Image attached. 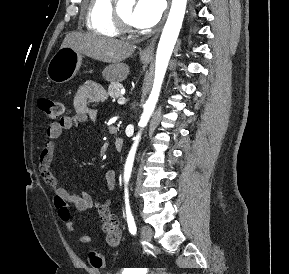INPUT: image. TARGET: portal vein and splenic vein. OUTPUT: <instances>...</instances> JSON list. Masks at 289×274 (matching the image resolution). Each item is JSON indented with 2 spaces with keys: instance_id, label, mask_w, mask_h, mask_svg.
I'll list each match as a JSON object with an SVG mask.
<instances>
[{
  "instance_id": "1",
  "label": "portal vein and splenic vein",
  "mask_w": 289,
  "mask_h": 274,
  "mask_svg": "<svg viewBox=\"0 0 289 274\" xmlns=\"http://www.w3.org/2000/svg\"><path fill=\"white\" fill-rule=\"evenodd\" d=\"M117 102H118V104L122 105L126 102V99H125V97H120Z\"/></svg>"
}]
</instances>
